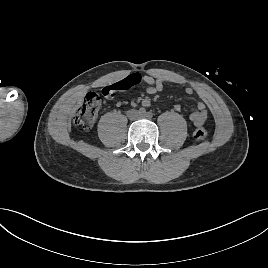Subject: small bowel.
<instances>
[{
	"label": "small bowel",
	"mask_w": 268,
	"mask_h": 268,
	"mask_svg": "<svg viewBox=\"0 0 268 268\" xmlns=\"http://www.w3.org/2000/svg\"><path fill=\"white\" fill-rule=\"evenodd\" d=\"M126 78H132L137 81V84L142 83L145 86V91L146 93L152 95L156 94L164 89L165 82L162 78L158 77H153L150 75H142L140 73H134L131 74ZM122 79V80H124ZM120 80V81H122ZM119 81V82H120ZM118 83V82H117ZM185 93L187 95H193L194 94V89L192 87H186L185 88ZM143 106H149L150 105V100L148 98H144L141 101ZM122 103L118 102L117 105L120 106ZM181 109L180 105L175 106V110L179 111ZM207 119V109L206 105L203 102H199L197 104L196 109L190 114V120L192 121L193 125L196 127L202 126Z\"/></svg>",
	"instance_id": "1"
}]
</instances>
